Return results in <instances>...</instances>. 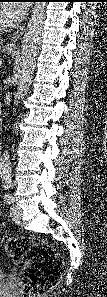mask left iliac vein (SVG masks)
I'll return each mask as SVG.
<instances>
[{"label": "left iliac vein", "mask_w": 107, "mask_h": 297, "mask_svg": "<svg viewBox=\"0 0 107 297\" xmlns=\"http://www.w3.org/2000/svg\"><path fill=\"white\" fill-rule=\"evenodd\" d=\"M10 215H11V218L14 221H19L21 219V216H22L21 208L18 207V206H12L11 211H10Z\"/></svg>", "instance_id": "4c4485c4"}]
</instances>
